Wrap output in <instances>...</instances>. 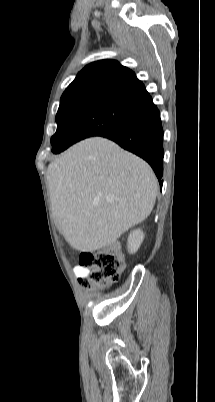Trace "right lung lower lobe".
I'll list each match as a JSON object with an SVG mask.
<instances>
[{
    "mask_svg": "<svg viewBox=\"0 0 215 402\" xmlns=\"http://www.w3.org/2000/svg\"><path fill=\"white\" fill-rule=\"evenodd\" d=\"M102 137L147 161L160 181L163 175V128L159 110L152 100L124 126ZM162 183L159 182L160 186Z\"/></svg>",
    "mask_w": 215,
    "mask_h": 402,
    "instance_id": "obj_1",
    "label": "right lung lower lobe"
}]
</instances>
